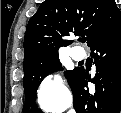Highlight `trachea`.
<instances>
[{
	"instance_id": "3493384b",
	"label": "trachea",
	"mask_w": 121,
	"mask_h": 113,
	"mask_svg": "<svg viewBox=\"0 0 121 113\" xmlns=\"http://www.w3.org/2000/svg\"><path fill=\"white\" fill-rule=\"evenodd\" d=\"M80 41L84 43L86 42V38H81Z\"/></svg>"
}]
</instances>
